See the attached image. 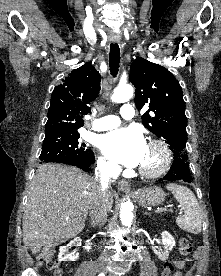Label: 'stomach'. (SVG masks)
<instances>
[{"label":"stomach","instance_id":"1","mask_svg":"<svg viewBox=\"0 0 221 276\" xmlns=\"http://www.w3.org/2000/svg\"><path fill=\"white\" fill-rule=\"evenodd\" d=\"M165 196L164 191L160 187L153 186L140 190L136 194V199L142 206H156L163 203Z\"/></svg>","mask_w":221,"mask_h":276}]
</instances>
